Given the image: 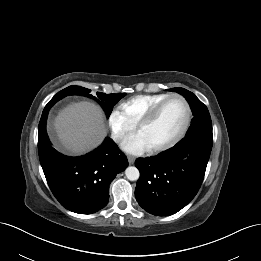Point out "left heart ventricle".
<instances>
[{"instance_id":"left-heart-ventricle-1","label":"left heart ventricle","mask_w":261,"mask_h":261,"mask_svg":"<svg viewBox=\"0 0 261 261\" xmlns=\"http://www.w3.org/2000/svg\"><path fill=\"white\" fill-rule=\"evenodd\" d=\"M185 120V108L177 100L168 102L157 118L149 125L141 128L139 134L149 148L165 144L172 140L180 131Z\"/></svg>"}]
</instances>
